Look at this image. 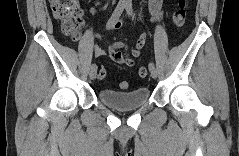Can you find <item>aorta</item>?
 I'll list each match as a JSON object with an SVG mask.
<instances>
[{"mask_svg": "<svg viewBox=\"0 0 239 156\" xmlns=\"http://www.w3.org/2000/svg\"><path fill=\"white\" fill-rule=\"evenodd\" d=\"M122 3L126 4V5H131L132 0H121Z\"/></svg>", "mask_w": 239, "mask_h": 156, "instance_id": "762f6f07", "label": "aorta"}]
</instances>
